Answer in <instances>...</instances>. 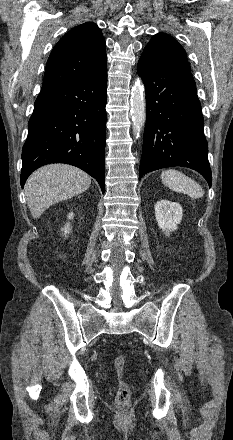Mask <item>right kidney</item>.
I'll use <instances>...</instances> for the list:
<instances>
[{
    "instance_id": "ca27d5eb",
    "label": "right kidney",
    "mask_w": 233,
    "mask_h": 440,
    "mask_svg": "<svg viewBox=\"0 0 233 440\" xmlns=\"http://www.w3.org/2000/svg\"><path fill=\"white\" fill-rule=\"evenodd\" d=\"M68 218L69 219H72L73 218V213H70L69 215H68ZM71 229H70V224L69 223H67L66 225H65V227L62 229V231H64V234L66 235L67 233H69V231H70Z\"/></svg>"
}]
</instances>
